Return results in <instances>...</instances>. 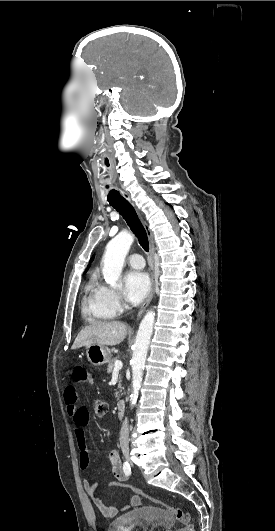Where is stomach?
<instances>
[{"instance_id":"1","label":"stomach","mask_w":275,"mask_h":531,"mask_svg":"<svg viewBox=\"0 0 275 531\" xmlns=\"http://www.w3.org/2000/svg\"><path fill=\"white\" fill-rule=\"evenodd\" d=\"M86 355L88 361L95 365V367H101L105 363L111 361L112 353L105 345H98V343H91L86 345Z\"/></svg>"}]
</instances>
